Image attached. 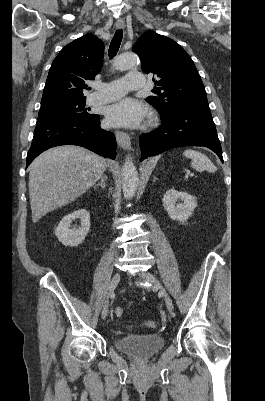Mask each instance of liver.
<instances>
[{
    "instance_id": "6515ba94",
    "label": "liver",
    "mask_w": 265,
    "mask_h": 401,
    "mask_svg": "<svg viewBox=\"0 0 265 401\" xmlns=\"http://www.w3.org/2000/svg\"><path fill=\"white\" fill-rule=\"evenodd\" d=\"M107 162L81 146H54L29 166V196L33 223L65 207L95 184Z\"/></svg>"
}]
</instances>
